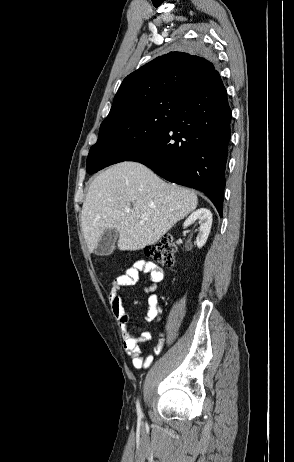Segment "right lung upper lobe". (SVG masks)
Returning a JSON list of instances; mask_svg holds the SVG:
<instances>
[{"label": "right lung upper lobe", "mask_w": 294, "mask_h": 462, "mask_svg": "<svg viewBox=\"0 0 294 462\" xmlns=\"http://www.w3.org/2000/svg\"><path fill=\"white\" fill-rule=\"evenodd\" d=\"M220 79L210 56L170 52L128 75L116 93L110 113L166 94L184 97Z\"/></svg>", "instance_id": "1"}]
</instances>
